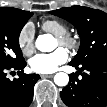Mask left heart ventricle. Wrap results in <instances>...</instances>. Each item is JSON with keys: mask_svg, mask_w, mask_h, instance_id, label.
Here are the masks:
<instances>
[{"mask_svg": "<svg viewBox=\"0 0 107 107\" xmlns=\"http://www.w3.org/2000/svg\"><path fill=\"white\" fill-rule=\"evenodd\" d=\"M56 46H59L58 42L56 43Z\"/></svg>", "mask_w": 107, "mask_h": 107, "instance_id": "left-heart-ventricle-1", "label": "left heart ventricle"}]
</instances>
